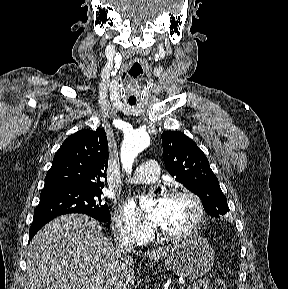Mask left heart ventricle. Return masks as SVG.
Returning a JSON list of instances; mask_svg holds the SVG:
<instances>
[{
    "mask_svg": "<svg viewBox=\"0 0 288 289\" xmlns=\"http://www.w3.org/2000/svg\"><path fill=\"white\" fill-rule=\"evenodd\" d=\"M196 216L192 201L187 197L162 199L160 226L170 232L188 229Z\"/></svg>",
    "mask_w": 288,
    "mask_h": 289,
    "instance_id": "1",
    "label": "left heart ventricle"
}]
</instances>
